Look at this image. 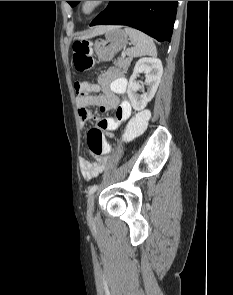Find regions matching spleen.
Segmentation results:
<instances>
[{
	"mask_svg": "<svg viewBox=\"0 0 233 295\" xmlns=\"http://www.w3.org/2000/svg\"><path fill=\"white\" fill-rule=\"evenodd\" d=\"M126 34H128L131 42L133 43V47L126 51L127 55L130 57H140L144 55L156 56V46L148 35L143 32L131 28H125Z\"/></svg>",
	"mask_w": 233,
	"mask_h": 295,
	"instance_id": "obj_1",
	"label": "spleen"
}]
</instances>
